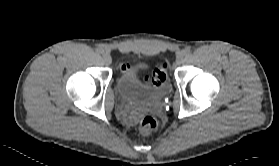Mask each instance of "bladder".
I'll return each mask as SVG.
<instances>
[{
    "instance_id": "obj_1",
    "label": "bladder",
    "mask_w": 279,
    "mask_h": 166,
    "mask_svg": "<svg viewBox=\"0 0 279 166\" xmlns=\"http://www.w3.org/2000/svg\"><path fill=\"white\" fill-rule=\"evenodd\" d=\"M145 68L146 65L144 63L137 62L129 65V68L120 74L118 87L125 98L135 99L145 95V81L141 78V74ZM157 89V96L161 97L169 91L170 84L166 80L161 86L157 87Z\"/></svg>"
}]
</instances>
